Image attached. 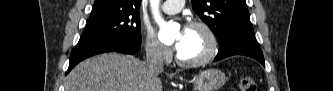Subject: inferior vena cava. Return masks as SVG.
I'll return each mask as SVG.
<instances>
[{"mask_svg":"<svg viewBox=\"0 0 333 91\" xmlns=\"http://www.w3.org/2000/svg\"><path fill=\"white\" fill-rule=\"evenodd\" d=\"M146 66L149 74L156 78L163 71L164 56L162 46H151L147 50Z\"/></svg>","mask_w":333,"mask_h":91,"instance_id":"1","label":"inferior vena cava"}]
</instances>
